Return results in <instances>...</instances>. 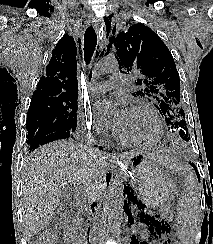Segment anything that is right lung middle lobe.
<instances>
[{"instance_id":"1","label":"right lung middle lobe","mask_w":213,"mask_h":244,"mask_svg":"<svg viewBox=\"0 0 213 244\" xmlns=\"http://www.w3.org/2000/svg\"><path fill=\"white\" fill-rule=\"evenodd\" d=\"M77 98L52 96L31 99L26 122L27 144L54 132H74L77 126Z\"/></svg>"}]
</instances>
